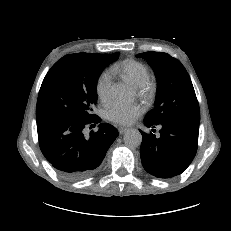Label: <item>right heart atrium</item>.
<instances>
[{"instance_id":"right-heart-atrium-1","label":"right heart atrium","mask_w":231,"mask_h":231,"mask_svg":"<svg viewBox=\"0 0 231 231\" xmlns=\"http://www.w3.org/2000/svg\"><path fill=\"white\" fill-rule=\"evenodd\" d=\"M112 78L108 71L100 74L96 82V94L98 98L107 102L111 97Z\"/></svg>"}]
</instances>
